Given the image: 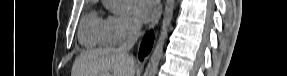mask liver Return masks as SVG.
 <instances>
[{
	"mask_svg": "<svg viewBox=\"0 0 287 76\" xmlns=\"http://www.w3.org/2000/svg\"><path fill=\"white\" fill-rule=\"evenodd\" d=\"M73 74V76H134L135 64L128 55L118 49L104 48L80 55L75 60Z\"/></svg>",
	"mask_w": 287,
	"mask_h": 76,
	"instance_id": "1",
	"label": "liver"
}]
</instances>
